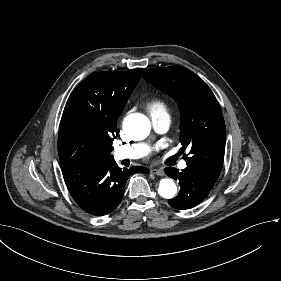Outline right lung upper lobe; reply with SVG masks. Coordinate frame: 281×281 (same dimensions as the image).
I'll list each match as a JSON object with an SVG mask.
<instances>
[{"label":"right lung upper lobe","mask_w":281,"mask_h":281,"mask_svg":"<svg viewBox=\"0 0 281 281\" xmlns=\"http://www.w3.org/2000/svg\"><path fill=\"white\" fill-rule=\"evenodd\" d=\"M142 69L103 71L85 78L71 93L59 127L62 157L81 154L113 160V138L118 117L141 77Z\"/></svg>","instance_id":"1"}]
</instances>
